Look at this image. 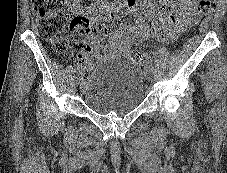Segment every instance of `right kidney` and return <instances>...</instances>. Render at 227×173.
I'll return each instance as SVG.
<instances>
[{"instance_id":"obj_1","label":"right kidney","mask_w":227,"mask_h":173,"mask_svg":"<svg viewBox=\"0 0 227 173\" xmlns=\"http://www.w3.org/2000/svg\"><path fill=\"white\" fill-rule=\"evenodd\" d=\"M82 0H65L68 10L71 12H79L82 10L80 2Z\"/></svg>"}]
</instances>
